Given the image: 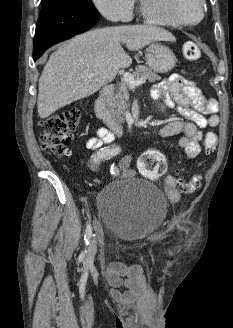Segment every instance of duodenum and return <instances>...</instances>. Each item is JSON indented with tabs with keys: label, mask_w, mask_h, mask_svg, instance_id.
Returning a JSON list of instances; mask_svg holds the SVG:
<instances>
[{
	"label": "duodenum",
	"mask_w": 233,
	"mask_h": 328,
	"mask_svg": "<svg viewBox=\"0 0 233 328\" xmlns=\"http://www.w3.org/2000/svg\"><path fill=\"white\" fill-rule=\"evenodd\" d=\"M113 91V86L104 87L95 101L94 110L98 119L107 124L112 130L118 132L120 130V123L112 117L107 107L108 100Z\"/></svg>",
	"instance_id": "obj_1"
}]
</instances>
